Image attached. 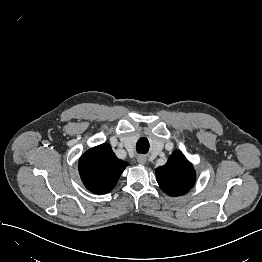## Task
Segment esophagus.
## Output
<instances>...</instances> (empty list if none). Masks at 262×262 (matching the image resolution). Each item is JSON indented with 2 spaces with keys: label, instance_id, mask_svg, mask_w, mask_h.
<instances>
[{
  "label": "esophagus",
  "instance_id": "esophagus-1",
  "mask_svg": "<svg viewBox=\"0 0 262 262\" xmlns=\"http://www.w3.org/2000/svg\"><path fill=\"white\" fill-rule=\"evenodd\" d=\"M146 161H147V159H146V157H144V156H140V157L138 158V162H139L140 164H145Z\"/></svg>",
  "mask_w": 262,
  "mask_h": 262
}]
</instances>
